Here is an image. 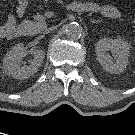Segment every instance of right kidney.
Instances as JSON below:
<instances>
[{
  "instance_id": "right-kidney-1",
  "label": "right kidney",
  "mask_w": 135,
  "mask_h": 135,
  "mask_svg": "<svg viewBox=\"0 0 135 135\" xmlns=\"http://www.w3.org/2000/svg\"><path fill=\"white\" fill-rule=\"evenodd\" d=\"M26 53L27 50L24 45L17 44L6 54L3 60V69L7 75L22 80L38 71L44 59V51L38 49L32 50L31 55L33 60L29 65L21 67L18 62Z\"/></svg>"
}]
</instances>
